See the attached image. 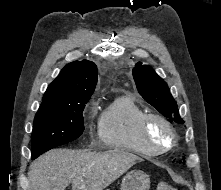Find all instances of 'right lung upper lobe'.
<instances>
[{
    "label": "right lung upper lobe",
    "mask_w": 221,
    "mask_h": 190,
    "mask_svg": "<svg viewBox=\"0 0 221 190\" xmlns=\"http://www.w3.org/2000/svg\"><path fill=\"white\" fill-rule=\"evenodd\" d=\"M96 84L97 67L93 62H71L48 86L40 107L72 106L89 100Z\"/></svg>",
    "instance_id": "obj_1"
}]
</instances>
